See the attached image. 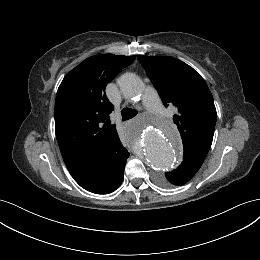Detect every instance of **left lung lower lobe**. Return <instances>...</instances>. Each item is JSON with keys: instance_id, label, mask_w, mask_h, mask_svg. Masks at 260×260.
Here are the masks:
<instances>
[{"instance_id": "obj_1", "label": "left lung lower lobe", "mask_w": 260, "mask_h": 260, "mask_svg": "<svg viewBox=\"0 0 260 260\" xmlns=\"http://www.w3.org/2000/svg\"><path fill=\"white\" fill-rule=\"evenodd\" d=\"M199 170V167L185 163L176 170L165 173L166 179L173 185L181 186L187 183Z\"/></svg>"}]
</instances>
